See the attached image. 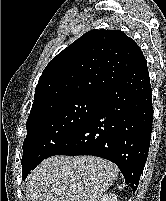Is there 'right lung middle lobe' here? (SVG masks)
<instances>
[{
  "mask_svg": "<svg viewBox=\"0 0 166 201\" xmlns=\"http://www.w3.org/2000/svg\"><path fill=\"white\" fill-rule=\"evenodd\" d=\"M101 95H83L29 117L21 159L23 180L97 108Z\"/></svg>",
  "mask_w": 166,
  "mask_h": 201,
  "instance_id": "right-lung-middle-lobe-1",
  "label": "right lung middle lobe"
}]
</instances>
